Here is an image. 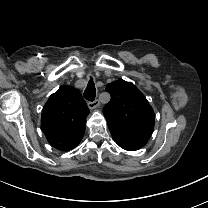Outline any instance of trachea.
I'll return each mask as SVG.
<instances>
[{
    "mask_svg": "<svg viewBox=\"0 0 208 208\" xmlns=\"http://www.w3.org/2000/svg\"><path fill=\"white\" fill-rule=\"evenodd\" d=\"M84 97H85V99H87L91 102H93L95 100L96 89H95L94 82L92 80H90L88 82L87 88L84 91Z\"/></svg>",
    "mask_w": 208,
    "mask_h": 208,
    "instance_id": "trachea-1",
    "label": "trachea"
}]
</instances>
